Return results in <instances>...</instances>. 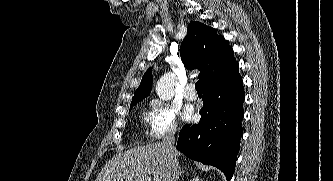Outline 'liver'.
Here are the masks:
<instances>
[{"instance_id": "liver-1", "label": "liver", "mask_w": 333, "mask_h": 181, "mask_svg": "<svg viewBox=\"0 0 333 181\" xmlns=\"http://www.w3.org/2000/svg\"><path fill=\"white\" fill-rule=\"evenodd\" d=\"M171 154L178 166L181 153L173 149ZM171 154L160 142L118 153L105 164L95 181H167L172 170Z\"/></svg>"}]
</instances>
